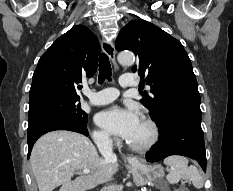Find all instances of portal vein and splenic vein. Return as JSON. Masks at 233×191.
<instances>
[{"label":"portal vein and splenic vein","instance_id":"1","mask_svg":"<svg viewBox=\"0 0 233 191\" xmlns=\"http://www.w3.org/2000/svg\"><path fill=\"white\" fill-rule=\"evenodd\" d=\"M80 174H90V170L85 169V170L81 171Z\"/></svg>","mask_w":233,"mask_h":191}]
</instances>
